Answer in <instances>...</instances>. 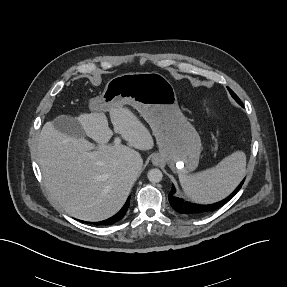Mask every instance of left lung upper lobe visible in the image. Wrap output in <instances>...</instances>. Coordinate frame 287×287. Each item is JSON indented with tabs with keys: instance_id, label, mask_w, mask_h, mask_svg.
Wrapping results in <instances>:
<instances>
[{
	"instance_id": "left-lung-upper-lobe-1",
	"label": "left lung upper lobe",
	"mask_w": 287,
	"mask_h": 287,
	"mask_svg": "<svg viewBox=\"0 0 287 287\" xmlns=\"http://www.w3.org/2000/svg\"><path fill=\"white\" fill-rule=\"evenodd\" d=\"M228 90H229L230 94L232 95V97H233L240 105H242V103H241L240 99L238 98V96H237L230 88H228Z\"/></svg>"
}]
</instances>
